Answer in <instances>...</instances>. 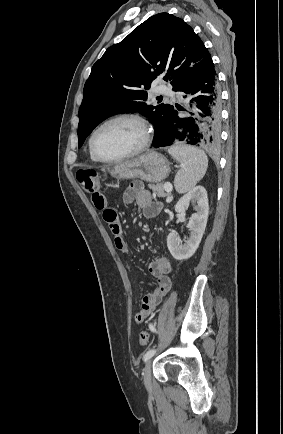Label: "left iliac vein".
Returning a JSON list of instances; mask_svg holds the SVG:
<instances>
[{"mask_svg":"<svg viewBox=\"0 0 283 434\" xmlns=\"http://www.w3.org/2000/svg\"><path fill=\"white\" fill-rule=\"evenodd\" d=\"M143 380L146 389L150 391L152 389V361L151 360H149L145 365V369L143 372Z\"/></svg>","mask_w":283,"mask_h":434,"instance_id":"4c4485c4","label":"left iliac vein"}]
</instances>
